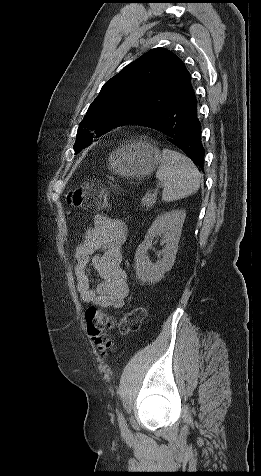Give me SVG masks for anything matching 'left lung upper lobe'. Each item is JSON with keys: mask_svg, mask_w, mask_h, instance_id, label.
<instances>
[{"mask_svg": "<svg viewBox=\"0 0 261 476\" xmlns=\"http://www.w3.org/2000/svg\"><path fill=\"white\" fill-rule=\"evenodd\" d=\"M191 88V75L181 59L165 48L149 50L103 85L80 123L93 126L94 133L79 128L74 150L88 147L93 135L160 114Z\"/></svg>", "mask_w": 261, "mask_h": 476, "instance_id": "obj_1", "label": "left lung upper lobe"}]
</instances>
